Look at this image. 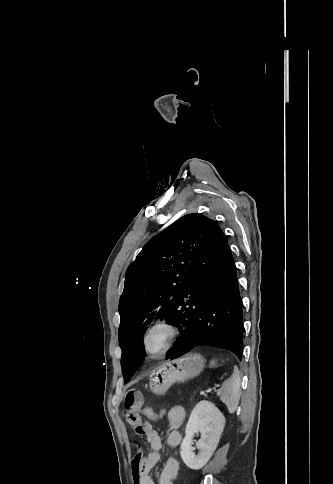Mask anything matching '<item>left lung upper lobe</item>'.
<instances>
[{
    "label": "left lung upper lobe",
    "instance_id": "1",
    "mask_svg": "<svg viewBox=\"0 0 333 484\" xmlns=\"http://www.w3.org/2000/svg\"><path fill=\"white\" fill-rule=\"evenodd\" d=\"M213 220L187 214L149 240L125 275L119 301V344L124 382L145 358L143 335L153 316L163 318Z\"/></svg>",
    "mask_w": 333,
    "mask_h": 484
}]
</instances>
